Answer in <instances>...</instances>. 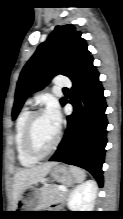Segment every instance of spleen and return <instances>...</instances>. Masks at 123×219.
Wrapping results in <instances>:
<instances>
[{"instance_id":"spleen-1","label":"spleen","mask_w":123,"mask_h":219,"mask_svg":"<svg viewBox=\"0 0 123 219\" xmlns=\"http://www.w3.org/2000/svg\"><path fill=\"white\" fill-rule=\"evenodd\" d=\"M70 170L75 176L77 182H82L85 179L86 174L82 169L75 167V166H71Z\"/></svg>"}]
</instances>
